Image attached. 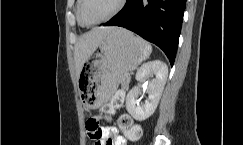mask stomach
Wrapping results in <instances>:
<instances>
[{
	"label": "stomach",
	"instance_id": "0dacf381",
	"mask_svg": "<svg viewBox=\"0 0 243 145\" xmlns=\"http://www.w3.org/2000/svg\"><path fill=\"white\" fill-rule=\"evenodd\" d=\"M151 46L123 28L111 31L93 56L83 64L78 79L79 102L96 109L104 106L117 90L123 74L134 70L151 53Z\"/></svg>",
	"mask_w": 243,
	"mask_h": 145
}]
</instances>
